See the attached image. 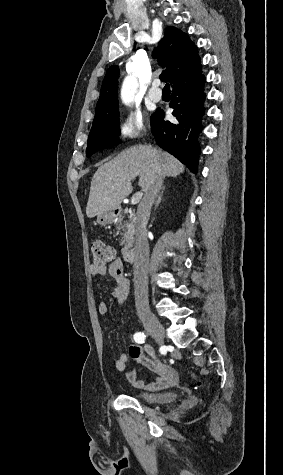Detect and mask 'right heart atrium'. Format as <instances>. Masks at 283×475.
<instances>
[{
  "label": "right heart atrium",
  "instance_id": "d8ad5b80",
  "mask_svg": "<svg viewBox=\"0 0 283 475\" xmlns=\"http://www.w3.org/2000/svg\"><path fill=\"white\" fill-rule=\"evenodd\" d=\"M117 134L127 140L134 139L147 132L143 117L138 113H129L116 126Z\"/></svg>",
  "mask_w": 283,
  "mask_h": 475
}]
</instances>
